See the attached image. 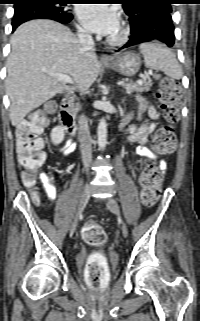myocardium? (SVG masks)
<instances>
[{"mask_svg":"<svg viewBox=\"0 0 200 321\" xmlns=\"http://www.w3.org/2000/svg\"><path fill=\"white\" fill-rule=\"evenodd\" d=\"M130 36V29L126 25H121L118 29L117 35L109 36L107 43L111 46H121L125 44Z\"/></svg>","mask_w":200,"mask_h":321,"instance_id":"obj_1","label":"myocardium"}]
</instances>
